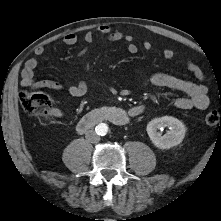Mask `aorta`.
<instances>
[{
  "label": "aorta",
  "mask_w": 221,
  "mask_h": 221,
  "mask_svg": "<svg viewBox=\"0 0 221 221\" xmlns=\"http://www.w3.org/2000/svg\"><path fill=\"white\" fill-rule=\"evenodd\" d=\"M108 132V125L105 123H100L96 126V133L98 135L104 136Z\"/></svg>",
  "instance_id": "762f6f07"
}]
</instances>
